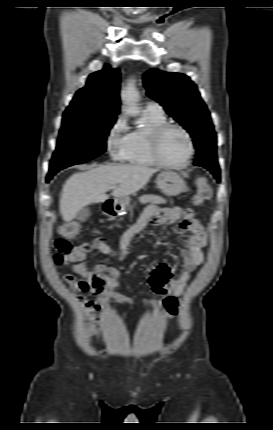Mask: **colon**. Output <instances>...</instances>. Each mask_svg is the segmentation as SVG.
<instances>
[{
  "label": "colon",
  "instance_id": "1",
  "mask_svg": "<svg viewBox=\"0 0 273 430\" xmlns=\"http://www.w3.org/2000/svg\"><path fill=\"white\" fill-rule=\"evenodd\" d=\"M196 185L197 191L191 197L190 203L193 206H200L206 200L209 199L211 195V189L207 179L204 177H199L196 180ZM79 231L80 225L77 222H69L61 227L60 233L62 237L57 239L55 242L54 262L57 265L82 261L90 252L91 248L89 244L73 243L72 239H74L78 235ZM64 278L67 282L74 286L78 292L81 293L80 299L82 301L85 312L89 315L94 313L98 309V306L94 301L84 296L85 293L91 292L88 290V287L84 286V282H82L80 278L71 274H66Z\"/></svg>",
  "mask_w": 273,
  "mask_h": 430
}]
</instances>
